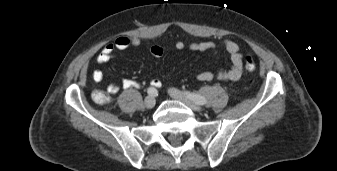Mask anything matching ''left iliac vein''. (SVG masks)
<instances>
[{
	"label": "left iliac vein",
	"instance_id": "left-iliac-vein-1",
	"mask_svg": "<svg viewBox=\"0 0 337 171\" xmlns=\"http://www.w3.org/2000/svg\"><path fill=\"white\" fill-rule=\"evenodd\" d=\"M168 93L169 95L176 99V100H179L181 102H183L184 104H186L188 107H190L193 111H201L202 108L197 104L195 103L194 101H192L191 99H189L187 96H185L182 92H180L179 90L177 89H174V88H170L168 90Z\"/></svg>",
	"mask_w": 337,
	"mask_h": 171
}]
</instances>
